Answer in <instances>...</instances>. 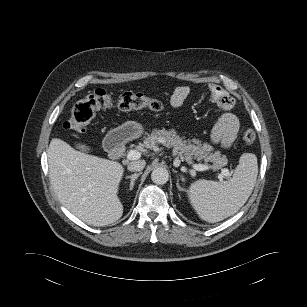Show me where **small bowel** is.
<instances>
[{"instance_id":"small-bowel-1","label":"small bowel","mask_w":307,"mask_h":307,"mask_svg":"<svg viewBox=\"0 0 307 307\" xmlns=\"http://www.w3.org/2000/svg\"><path fill=\"white\" fill-rule=\"evenodd\" d=\"M208 89L211 98L220 108L230 109L232 107V98L220 86L209 84ZM190 92V87L186 85L175 88L169 100L171 107H181ZM239 128L238 118L233 113L226 112L218 119L213 127L210 135L211 142L223 148H229L235 141Z\"/></svg>"}]
</instances>
